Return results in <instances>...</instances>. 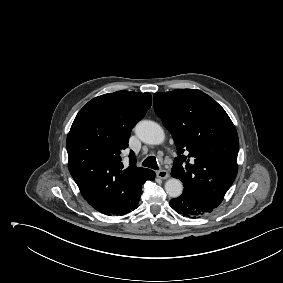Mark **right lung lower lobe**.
I'll return each mask as SVG.
<instances>
[{
  "mask_svg": "<svg viewBox=\"0 0 283 283\" xmlns=\"http://www.w3.org/2000/svg\"><path fill=\"white\" fill-rule=\"evenodd\" d=\"M155 173L152 171V173L151 174H149V176L148 177H146V180H154V178H155ZM138 205V204H137ZM137 205L132 209V210H134L135 208H137ZM131 211V210H130Z\"/></svg>",
  "mask_w": 283,
  "mask_h": 283,
  "instance_id": "98d812e1",
  "label": "right lung lower lobe"
}]
</instances>
